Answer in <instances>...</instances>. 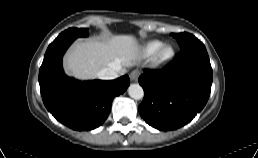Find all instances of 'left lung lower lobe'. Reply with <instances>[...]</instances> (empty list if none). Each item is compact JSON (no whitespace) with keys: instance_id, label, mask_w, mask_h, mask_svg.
Wrapping results in <instances>:
<instances>
[{"instance_id":"obj_1","label":"left lung lower lobe","mask_w":258,"mask_h":158,"mask_svg":"<svg viewBox=\"0 0 258 158\" xmlns=\"http://www.w3.org/2000/svg\"><path fill=\"white\" fill-rule=\"evenodd\" d=\"M144 99L139 113L150 126L173 130L190 122L208 101L212 68L204 44L193 41L163 70H144L139 77Z\"/></svg>"}]
</instances>
